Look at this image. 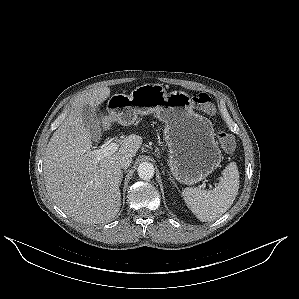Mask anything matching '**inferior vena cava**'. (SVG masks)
I'll list each match as a JSON object with an SVG mask.
<instances>
[{
  "label": "inferior vena cava",
  "instance_id": "602c4592",
  "mask_svg": "<svg viewBox=\"0 0 299 299\" xmlns=\"http://www.w3.org/2000/svg\"><path fill=\"white\" fill-rule=\"evenodd\" d=\"M132 157V154L125 153L124 155L119 157V159L117 160V165L122 169L128 168L132 162Z\"/></svg>",
  "mask_w": 299,
  "mask_h": 299
}]
</instances>
